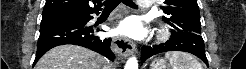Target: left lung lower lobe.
<instances>
[{
  "instance_id": "0a47b994",
  "label": "left lung lower lobe",
  "mask_w": 246,
  "mask_h": 69,
  "mask_svg": "<svg viewBox=\"0 0 246 69\" xmlns=\"http://www.w3.org/2000/svg\"><path fill=\"white\" fill-rule=\"evenodd\" d=\"M166 51H185L199 57L208 65L205 55L204 41L198 34L191 32H171V38L166 43L155 46H143L141 50V62L149 57Z\"/></svg>"
}]
</instances>
